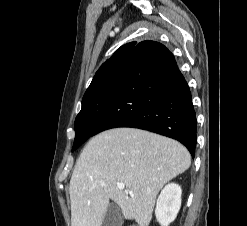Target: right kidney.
<instances>
[{
	"label": "right kidney",
	"mask_w": 247,
	"mask_h": 226,
	"mask_svg": "<svg viewBox=\"0 0 247 226\" xmlns=\"http://www.w3.org/2000/svg\"><path fill=\"white\" fill-rule=\"evenodd\" d=\"M182 190L178 184L170 183L161 191L155 209L157 221L161 226H168L173 222L181 207Z\"/></svg>",
	"instance_id": "obj_1"
}]
</instances>
